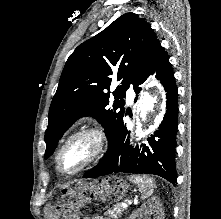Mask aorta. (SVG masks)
Listing matches in <instances>:
<instances>
[{"label": "aorta", "instance_id": "aorta-1", "mask_svg": "<svg viewBox=\"0 0 221 219\" xmlns=\"http://www.w3.org/2000/svg\"><path fill=\"white\" fill-rule=\"evenodd\" d=\"M161 94L156 90H147L143 93L140 104V118L143 123H147L158 106Z\"/></svg>", "mask_w": 221, "mask_h": 219}]
</instances>
